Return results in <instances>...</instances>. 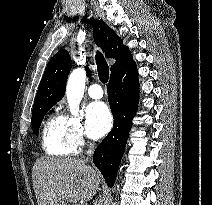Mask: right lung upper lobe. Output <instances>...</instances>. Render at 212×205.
Instances as JSON below:
<instances>
[{
    "label": "right lung upper lobe",
    "instance_id": "1",
    "mask_svg": "<svg viewBox=\"0 0 212 205\" xmlns=\"http://www.w3.org/2000/svg\"><path fill=\"white\" fill-rule=\"evenodd\" d=\"M93 30L95 43L101 47L108 58L116 59L115 64L111 66V73L133 60L128 47L123 45V40L103 20H96ZM70 69V55L62 49L54 55L45 69L33 108L55 105L63 98Z\"/></svg>",
    "mask_w": 212,
    "mask_h": 205
}]
</instances>
